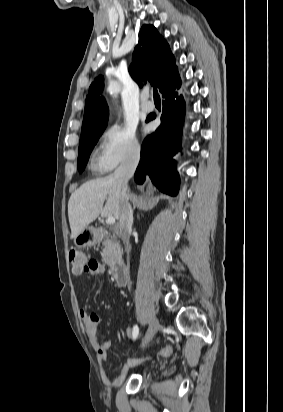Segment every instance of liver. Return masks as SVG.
I'll list each match as a JSON object with an SVG mask.
<instances>
[{"instance_id":"obj_1","label":"liver","mask_w":283,"mask_h":412,"mask_svg":"<svg viewBox=\"0 0 283 412\" xmlns=\"http://www.w3.org/2000/svg\"><path fill=\"white\" fill-rule=\"evenodd\" d=\"M121 200L122 185L114 175L82 184L72 193L68 202L71 238L79 235L99 215L119 219Z\"/></svg>"}]
</instances>
